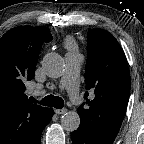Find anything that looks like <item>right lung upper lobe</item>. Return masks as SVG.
Instances as JSON below:
<instances>
[{
	"label": "right lung upper lobe",
	"instance_id": "1",
	"mask_svg": "<svg viewBox=\"0 0 144 144\" xmlns=\"http://www.w3.org/2000/svg\"><path fill=\"white\" fill-rule=\"evenodd\" d=\"M47 27H15L0 38V144H30L53 109L32 104L25 83L35 74Z\"/></svg>",
	"mask_w": 144,
	"mask_h": 144
}]
</instances>
